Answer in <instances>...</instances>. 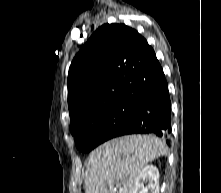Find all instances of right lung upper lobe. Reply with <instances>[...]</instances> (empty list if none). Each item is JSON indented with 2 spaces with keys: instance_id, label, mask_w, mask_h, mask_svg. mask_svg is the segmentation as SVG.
<instances>
[{
  "instance_id": "right-lung-upper-lobe-1",
  "label": "right lung upper lobe",
  "mask_w": 221,
  "mask_h": 193,
  "mask_svg": "<svg viewBox=\"0 0 221 193\" xmlns=\"http://www.w3.org/2000/svg\"><path fill=\"white\" fill-rule=\"evenodd\" d=\"M161 70L153 48L136 30L124 24L99 27L69 68L70 131L110 103L142 99Z\"/></svg>"
}]
</instances>
